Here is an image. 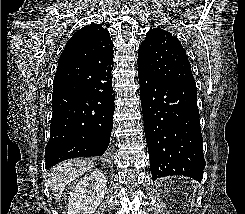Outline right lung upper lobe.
I'll list each match as a JSON object with an SVG mask.
<instances>
[{"mask_svg":"<svg viewBox=\"0 0 245 214\" xmlns=\"http://www.w3.org/2000/svg\"><path fill=\"white\" fill-rule=\"evenodd\" d=\"M113 43L101 24L78 30L67 42L58 61L53 89L78 91L88 86L95 69L113 64Z\"/></svg>","mask_w":245,"mask_h":214,"instance_id":"right-lung-upper-lobe-1","label":"right lung upper lobe"}]
</instances>
